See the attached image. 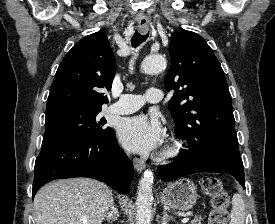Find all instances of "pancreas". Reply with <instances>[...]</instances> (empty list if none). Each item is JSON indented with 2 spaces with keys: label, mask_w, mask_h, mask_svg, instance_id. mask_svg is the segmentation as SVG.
Instances as JSON below:
<instances>
[{
  "label": "pancreas",
  "mask_w": 275,
  "mask_h": 224,
  "mask_svg": "<svg viewBox=\"0 0 275 224\" xmlns=\"http://www.w3.org/2000/svg\"><path fill=\"white\" fill-rule=\"evenodd\" d=\"M202 217L200 215L195 216L194 219H192L189 224H202Z\"/></svg>",
  "instance_id": "cf45deb5"
}]
</instances>
